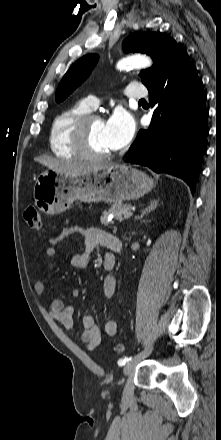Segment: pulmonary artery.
I'll use <instances>...</instances> for the list:
<instances>
[{
    "label": "pulmonary artery",
    "instance_id": "1",
    "mask_svg": "<svg viewBox=\"0 0 221 440\" xmlns=\"http://www.w3.org/2000/svg\"><path fill=\"white\" fill-rule=\"evenodd\" d=\"M123 93L126 97L134 99H144L147 96V90L138 83L129 84L124 88ZM85 100L92 109L97 108L100 104L99 98L93 95L88 96Z\"/></svg>",
    "mask_w": 221,
    "mask_h": 440
}]
</instances>
